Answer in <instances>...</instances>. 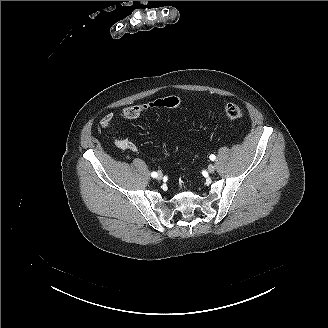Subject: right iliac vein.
Instances as JSON below:
<instances>
[{"instance_id": "63e3f726", "label": "right iliac vein", "mask_w": 328, "mask_h": 328, "mask_svg": "<svg viewBox=\"0 0 328 328\" xmlns=\"http://www.w3.org/2000/svg\"><path fill=\"white\" fill-rule=\"evenodd\" d=\"M157 180L158 181L162 180V175L160 173L157 175Z\"/></svg>"}]
</instances>
